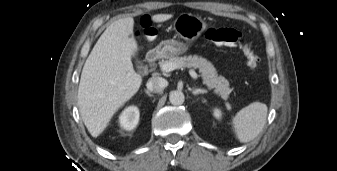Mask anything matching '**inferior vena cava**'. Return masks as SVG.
Masks as SVG:
<instances>
[{
  "instance_id": "obj_1",
  "label": "inferior vena cava",
  "mask_w": 337,
  "mask_h": 171,
  "mask_svg": "<svg viewBox=\"0 0 337 171\" xmlns=\"http://www.w3.org/2000/svg\"><path fill=\"white\" fill-rule=\"evenodd\" d=\"M165 86L166 80L162 77H151L146 84L147 89L154 93L162 92Z\"/></svg>"
}]
</instances>
